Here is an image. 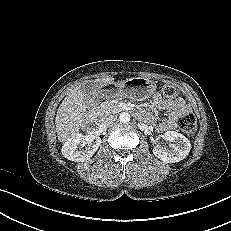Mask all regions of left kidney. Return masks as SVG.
I'll return each mask as SVG.
<instances>
[{"mask_svg":"<svg viewBox=\"0 0 231 231\" xmlns=\"http://www.w3.org/2000/svg\"><path fill=\"white\" fill-rule=\"evenodd\" d=\"M163 139L171 143L169 148L163 145H157L153 148V154L163 162H179L189 154L191 143L184 135L176 131H166Z\"/></svg>","mask_w":231,"mask_h":231,"instance_id":"obj_1","label":"left kidney"}]
</instances>
